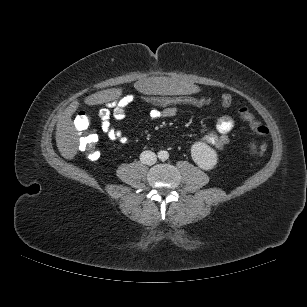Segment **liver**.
<instances>
[{"instance_id": "liver-1", "label": "liver", "mask_w": 307, "mask_h": 307, "mask_svg": "<svg viewBox=\"0 0 307 307\" xmlns=\"http://www.w3.org/2000/svg\"><path fill=\"white\" fill-rule=\"evenodd\" d=\"M134 89L144 93H167L193 96L199 91L196 81L178 79L176 77H151L137 79ZM121 94V89H111L94 93L85 98L88 105H98L111 101ZM79 107L78 101H73L59 117L56 126V144L61 155L66 159H73L77 154L78 137L71 116Z\"/></svg>"}]
</instances>
